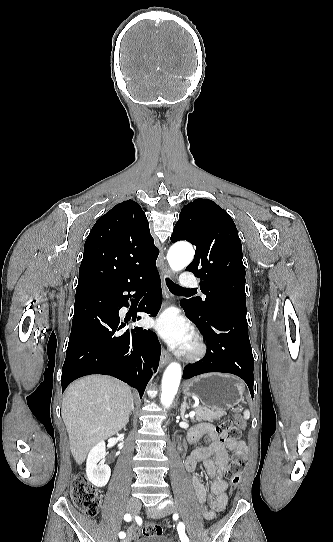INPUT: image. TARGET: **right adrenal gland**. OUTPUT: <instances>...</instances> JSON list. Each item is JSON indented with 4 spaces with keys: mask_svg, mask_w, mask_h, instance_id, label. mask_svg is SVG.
Masks as SVG:
<instances>
[{
    "mask_svg": "<svg viewBox=\"0 0 333 542\" xmlns=\"http://www.w3.org/2000/svg\"><path fill=\"white\" fill-rule=\"evenodd\" d=\"M131 412H134V402L132 400V404H131Z\"/></svg>",
    "mask_w": 333,
    "mask_h": 542,
    "instance_id": "2a0ac1e0",
    "label": "right adrenal gland"
}]
</instances>
